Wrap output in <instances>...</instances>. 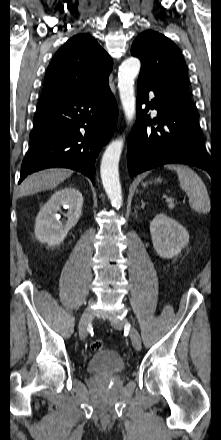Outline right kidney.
Returning a JSON list of instances; mask_svg holds the SVG:
<instances>
[{"label": "right kidney", "mask_w": 221, "mask_h": 440, "mask_svg": "<svg viewBox=\"0 0 221 440\" xmlns=\"http://www.w3.org/2000/svg\"><path fill=\"white\" fill-rule=\"evenodd\" d=\"M83 196L79 190L65 187L56 191L41 208L35 224V236L41 243L49 246L60 244L69 230L77 224L81 216ZM67 208V221L62 223L57 212Z\"/></svg>", "instance_id": "ca27d5eb"}]
</instances>
